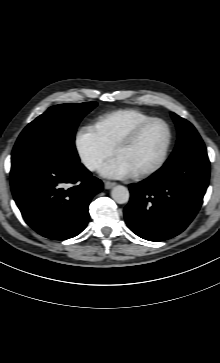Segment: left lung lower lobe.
I'll return each instance as SVG.
<instances>
[{"label":"left lung lower lobe","instance_id":"obj_1","mask_svg":"<svg viewBox=\"0 0 220 363\" xmlns=\"http://www.w3.org/2000/svg\"><path fill=\"white\" fill-rule=\"evenodd\" d=\"M209 174L207 152L167 160L149 178L130 185V202L124 209L128 227L149 241L178 235L200 209Z\"/></svg>","mask_w":220,"mask_h":363}]
</instances>
